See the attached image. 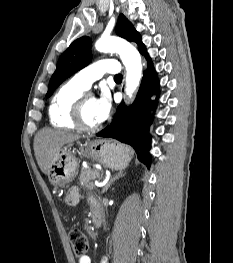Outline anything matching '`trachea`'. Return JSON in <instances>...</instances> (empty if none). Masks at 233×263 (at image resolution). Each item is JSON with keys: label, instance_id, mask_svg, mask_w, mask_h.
Segmentation results:
<instances>
[{"label": "trachea", "instance_id": "3493384b", "mask_svg": "<svg viewBox=\"0 0 233 263\" xmlns=\"http://www.w3.org/2000/svg\"><path fill=\"white\" fill-rule=\"evenodd\" d=\"M114 79H115L116 81H121V80H122V75H121V74H118V75H116V76L114 77Z\"/></svg>", "mask_w": 233, "mask_h": 263}]
</instances>
